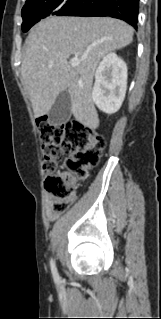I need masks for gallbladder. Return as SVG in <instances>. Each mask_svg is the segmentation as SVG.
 Returning a JSON list of instances; mask_svg holds the SVG:
<instances>
[{
  "label": "gallbladder",
  "instance_id": "obj_1",
  "mask_svg": "<svg viewBox=\"0 0 161 319\" xmlns=\"http://www.w3.org/2000/svg\"><path fill=\"white\" fill-rule=\"evenodd\" d=\"M71 116V98L67 90L62 91L48 112L52 124L66 123Z\"/></svg>",
  "mask_w": 161,
  "mask_h": 319
}]
</instances>
